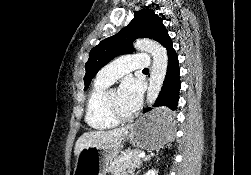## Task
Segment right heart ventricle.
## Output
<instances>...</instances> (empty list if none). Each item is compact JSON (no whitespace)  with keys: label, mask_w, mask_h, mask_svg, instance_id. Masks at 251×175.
Here are the masks:
<instances>
[{"label":"right heart ventricle","mask_w":251,"mask_h":175,"mask_svg":"<svg viewBox=\"0 0 251 175\" xmlns=\"http://www.w3.org/2000/svg\"><path fill=\"white\" fill-rule=\"evenodd\" d=\"M109 84L96 79L85 102V121L87 125L97 131L108 130L116 125V119L105 111L103 99Z\"/></svg>","instance_id":"obj_1"}]
</instances>
